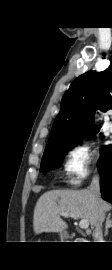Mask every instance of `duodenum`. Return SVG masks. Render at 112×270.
Returning a JSON list of instances; mask_svg holds the SVG:
<instances>
[{
  "label": "duodenum",
  "instance_id": "duodenum-1",
  "mask_svg": "<svg viewBox=\"0 0 112 270\" xmlns=\"http://www.w3.org/2000/svg\"><path fill=\"white\" fill-rule=\"evenodd\" d=\"M74 242H82V239H80V238H74Z\"/></svg>",
  "mask_w": 112,
  "mask_h": 270
}]
</instances>
